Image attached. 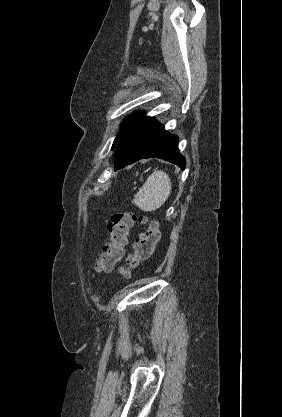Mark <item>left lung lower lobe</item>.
I'll use <instances>...</instances> for the list:
<instances>
[{"instance_id": "obj_1", "label": "left lung lower lobe", "mask_w": 282, "mask_h": 417, "mask_svg": "<svg viewBox=\"0 0 282 417\" xmlns=\"http://www.w3.org/2000/svg\"><path fill=\"white\" fill-rule=\"evenodd\" d=\"M178 137L168 133L162 124L138 112L124 123L116 148L115 167L119 170L142 158H161L185 168L179 154Z\"/></svg>"}]
</instances>
